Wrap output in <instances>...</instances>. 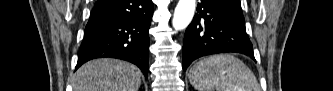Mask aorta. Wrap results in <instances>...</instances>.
I'll return each instance as SVG.
<instances>
[{
    "instance_id": "aorta-1",
    "label": "aorta",
    "mask_w": 333,
    "mask_h": 91,
    "mask_svg": "<svg viewBox=\"0 0 333 91\" xmlns=\"http://www.w3.org/2000/svg\"><path fill=\"white\" fill-rule=\"evenodd\" d=\"M195 7V0H179L172 19V25L176 30L185 29L190 24Z\"/></svg>"
}]
</instances>
